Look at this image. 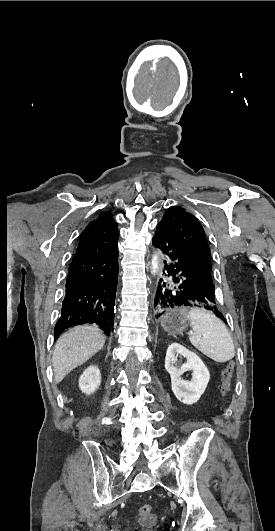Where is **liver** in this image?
Returning a JSON list of instances; mask_svg holds the SVG:
<instances>
[{
    "label": "liver",
    "instance_id": "obj_1",
    "mask_svg": "<svg viewBox=\"0 0 275 531\" xmlns=\"http://www.w3.org/2000/svg\"><path fill=\"white\" fill-rule=\"evenodd\" d=\"M104 345L105 335L96 325H82L63 333L55 345L52 357L55 383L63 381L70 371L86 363Z\"/></svg>",
    "mask_w": 275,
    "mask_h": 531
}]
</instances>
